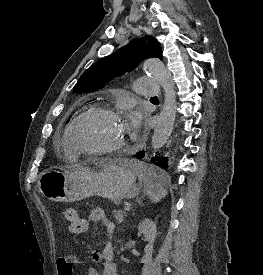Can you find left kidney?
I'll return each instance as SVG.
<instances>
[{"label": "left kidney", "instance_id": "obj_1", "mask_svg": "<svg viewBox=\"0 0 263 275\" xmlns=\"http://www.w3.org/2000/svg\"><path fill=\"white\" fill-rule=\"evenodd\" d=\"M138 231L144 235L148 242L144 248L145 255L142 258V263H148L152 260L153 244L157 235L156 224L150 219H145L139 224Z\"/></svg>", "mask_w": 263, "mask_h": 275}]
</instances>
